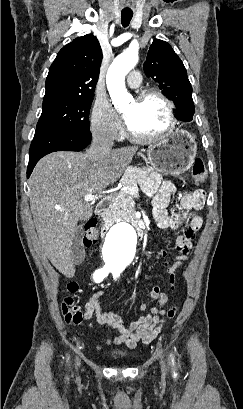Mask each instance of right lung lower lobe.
Returning a JSON list of instances; mask_svg holds the SVG:
<instances>
[{
	"instance_id": "98d812e1",
	"label": "right lung lower lobe",
	"mask_w": 243,
	"mask_h": 409,
	"mask_svg": "<svg viewBox=\"0 0 243 409\" xmlns=\"http://www.w3.org/2000/svg\"><path fill=\"white\" fill-rule=\"evenodd\" d=\"M91 133H64L37 129L31 143L27 177L36 163L45 155L61 150L81 151L91 142Z\"/></svg>"
}]
</instances>
